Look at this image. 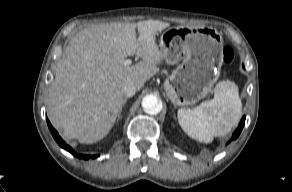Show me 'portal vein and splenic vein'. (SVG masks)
<instances>
[{
	"mask_svg": "<svg viewBox=\"0 0 292 192\" xmlns=\"http://www.w3.org/2000/svg\"><path fill=\"white\" fill-rule=\"evenodd\" d=\"M124 64L125 65H130L131 64V60L130 59L125 60Z\"/></svg>",
	"mask_w": 292,
	"mask_h": 192,
	"instance_id": "1",
	"label": "portal vein and splenic vein"
}]
</instances>
